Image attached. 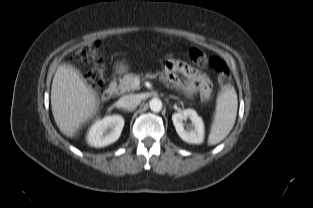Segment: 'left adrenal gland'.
<instances>
[{"label":"left adrenal gland","instance_id":"left-adrenal-gland-1","mask_svg":"<svg viewBox=\"0 0 313 208\" xmlns=\"http://www.w3.org/2000/svg\"><path fill=\"white\" fill-rule=\"evenodd\" d=\"M169 98H172V99H175V100H179V98H178V97L173 96V95H170V96H169Z\"/></svg>","mask_w":313,"mask_h":208}]
</instances>
